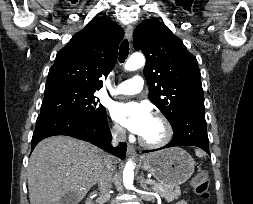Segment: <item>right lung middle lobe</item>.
Segmentation results:
<instances>
[{
	"mask_svg": "<svg viewBox=\"0 0 253 204\" xmlns=\"http://www.w3.org/2000/svg\"><path fill=\"white\" fill-rule=\"evenodd\" d=\"M95 90L74 84H46L40 114H62L100 122L105 108L93 95Z\"/></svg>",
	"mask_w": 253,
	"mask_h": 204,
	"instance_id": "1",
	"label": "right lung middle lobe"
}]
</instances>
